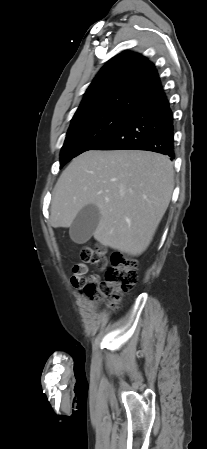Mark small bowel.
<instances>
[{
  "instance_id": "small-bowel-1",
  "label": "small bowel",
  "mask_w": 207,
  "mask_h": 449,
  "mask_svg": "<svg viewBox=\"0 0 207 449\" xmlns=\"http://www.w3.org/2000/svg\"><path fill=\"white\" fill-rule=\"evenodd\" d=\"M71 272L70 283L73 286H78L84 280V276L88 272V267L85 263H77L72 266Z\"/></svg>"
}]
</instances>
